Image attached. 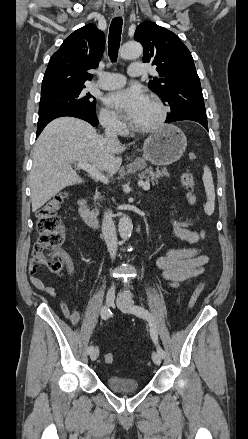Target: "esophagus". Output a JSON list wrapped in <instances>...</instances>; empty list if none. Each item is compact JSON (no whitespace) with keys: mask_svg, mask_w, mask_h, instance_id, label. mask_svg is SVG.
Here are the masks:
<instances>
[{"mask_svg":"<svg viewBox=\"0 0 248 439\" xmlns=\"http://www.w3.org/2000/svg\"><path fill=\"white\" fill-rule=\"evenodd\" d=\"M114 13L116 16H122L124 14V8L122 5H117L115 7Z\"/></svg>","mask_w":248,"mask_h":439,"instance_id":"obj_1","label":"esophagus"}]
</instances>
